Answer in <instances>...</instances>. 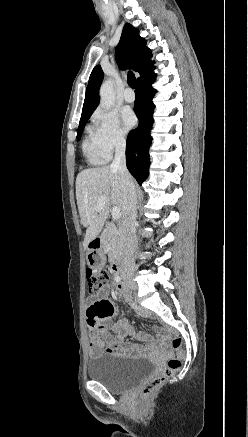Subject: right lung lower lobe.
<instances>
[{"label": "right lung lower lobe", "instance_id": "right-lung-lower-lobe-1", "mask_svg": "<svg viewBox=\"0 0 248 437\" xmlns=\"http://www.w3.org/2000/svg\"><path fill=\"white\" fill-rule=\"evenodd\" d=\"M154 69L155 67L137 80L134 111L139 119V125L129 132L126 145L127 168L140 185L149 175V147L152 141L150 130L154 122L152 115L155 108L152 98L156 93L152 88L156 78Z\"/></svg>", "mask_w": 248, "mask_h": 437}]
</instances>
